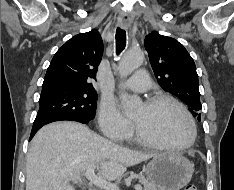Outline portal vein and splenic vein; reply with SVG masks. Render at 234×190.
<instances>
[{
    "label": "portal vein and splenic vein",
    "mask_w": 234,
    "mask_h": 190,
    "mask_svg": "<svg viewBox=\"0 0 234 190\" xmlns=\"http://www.w3.org/2000/svg\"><path fill=\"white\" fill-rule=\"evenodd\" d=\"M94 169H95V166L92 165L84 173L85 177L90 182H92L94 185H96L97 187L104 189V190H120L116 184L111 183V182L104 180V179L98 177L97 175H95ZM134 188H135V190H142V187L140 185H135Z\"/></svg>",
    "instance_id": "18ae733b"
}]
</instances>
